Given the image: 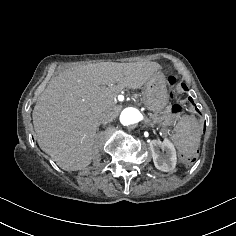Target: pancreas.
<instances>
[{"instance_id": "cf45deb5", "label": "pancreas", "mask_w": 236, "mask_h": 236, "mask_svg": "<svg viewBox=\"0 0 236 236\" xmlns=\"http://www.w3.org/2000/svg\"><path fill=\"white\" fill-rule=\"evenodd\" d=\"M152 120L154 123H156L157 121H159L158 117L156 115H152L151 116Z\"/></svg>"}]
</instances>
